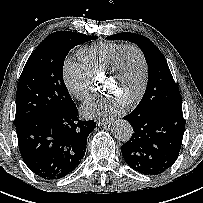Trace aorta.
<instances>
[{
	"label": "aorta",
	"mask_w": 203,
	"mask_h": 203,
	"mask_svg": "<svg viewBox=\"0 0 203 203\" xmlns=\"http://www.w3.org/2000/svg\"><path fill=\"white\" fill-rule=\"evenodd\" d=\"M112 132L117 140L127 142L132 137L133 127L126 120H117L113 124Z\"/></svg>",
	"instance_id": "762f6f07"
}]
</instances>
